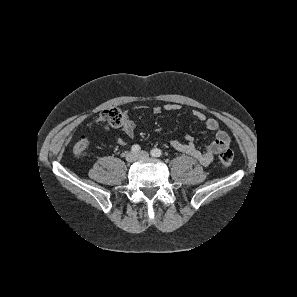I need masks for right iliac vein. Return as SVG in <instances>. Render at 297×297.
Wrapping results in <instances>:
<instances>
[{
    "label": "right iliac vein",
    "mask_w": 297,
    "mask_h": 297,
    "mask_svg": "<svg viewBox=\"0 0 297 297\" xmlns=\"http://www.w3.org/2000/svg\"><path fill=\"white\" fill-rule=\"evenodd\" d=\"M125 159L127 162H134L137 159V155L134 152H129L126 154Z\"/></svg>",
    "instance_id": "1"
}]
</instances>
